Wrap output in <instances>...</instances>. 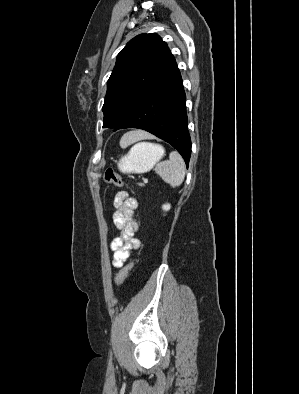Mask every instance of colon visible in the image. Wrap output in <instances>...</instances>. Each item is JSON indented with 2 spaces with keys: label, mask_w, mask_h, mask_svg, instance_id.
<instances>
[{
  "label": "colon",
  "mask_w": 299,
  "mask_h": 394,
  "mask_svg": "<svg viewBox=\"0 0 299 394\" xmlns=\"http://www.w3.org/2000/svg\"><path fill=\"white\" fill-rule=\"evenodd\" d=\"M104 180L106 183L113 184L115 186H123L125 184L122 176L113 171L112 169H106L104 172ZM132 268V262L124 265L116 277V286H120L123 284L125 279L127 278L129 271Z\"/></svg>",
  "instance_id": "colon-1"
}]
</instances>
